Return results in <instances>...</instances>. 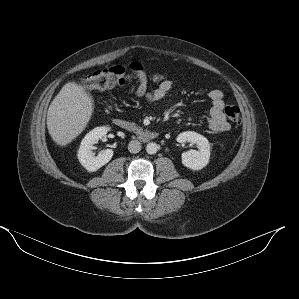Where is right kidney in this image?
<instances>
[{
	"label": "right kidney",
	"mask_w": 299,
	"mask_h": 299,
	"mask_svg": "<svg viewBox=\"0 0 299 299\" xmlns=\"http://www.w3.org/2000/svg\"><path fill=\"white\" fill-rule=\"evenodd\" d=\"M109 131V127H96L86 134L81 142L78 159L80 163L90 172L97 171L99 168L107 164L113 157V150H102L97 156L93 152L96 147L94 144L98 143L99 139L106 136Z\"/></svg>",
	"instance_id": "ca27d5eb"
}]
</instances>
